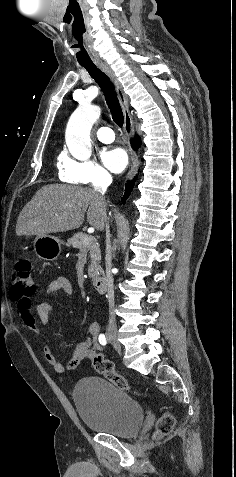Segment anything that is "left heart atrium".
<instances>
[{
  "instance_id": "obj_1",
  "label": "left heart atrium",
  "mask_w": 236,
  "mask_h": 477,
  "mask_svg": "<svg viewBox=\"0 0 236 477\" xmlns=\"http://www.w3.org/2000/svg\"><path fill=\"white\" fill-rule=\"evenodd\" d=\"M102 160L112 172L119 173L127 166L128 155L124 149L112 147L102 152Z\"/></svg>"
}]
</instances>
